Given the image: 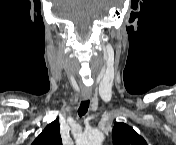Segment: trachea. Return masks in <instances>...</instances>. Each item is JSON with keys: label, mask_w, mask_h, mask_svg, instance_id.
Wrapping results in <instances>:
<instances>
[{"label": "trachea", "mask_w": 176, "mask_h": 145, "mask_svg": "<svg viewBox=\"0 0 176 145\" xmlns=\"http://www.w3.org/2000/svg\"><path fill=\"white\" fill-rule=\"evenodd\" d=\"M89 100L82 101L79 107V116L82 117L87 113V110L89 108Z\"/></svg>", "instance_id": "trachea-1"}]
</instances>
